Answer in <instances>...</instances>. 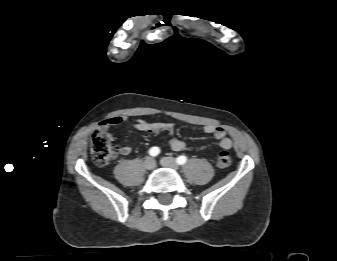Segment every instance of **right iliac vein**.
<instances>
[{"instance_id": "obj_1", "label": "right iliac vein", "mask_w": 337, "mask_h": 261, "mask_svg": "<svg viewBox=\"0 0 337 261\" xmlns=\"http://www.w3.org/2000/svg\"><path fill=\"white\" fill-rule=\"evenodd\" d=\"M144 166L147 170H152L155 168L156 162L153 158L148 157L144 162Z\"/></svg>"}]
</instances>
